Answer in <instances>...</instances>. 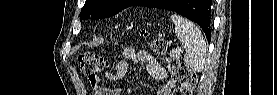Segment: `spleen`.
<instances>
[{
    "mask_svg": "<svg viewBox=\"0 0 277 95\" xmlns=\"http://www.w3.org/2000/svg\"><path fill=\"white\" fill-rule=\"evenodd\" d=\"M175 34L184 49V61L194 71L200 72L205 66L206 43L199 28L182 16L173 14Z\"/></svg>",
    "mask_w": 277,
    "mask_h": 95,
    "instance_id": "1",
    "label": "spleen"
}]
</instances>
